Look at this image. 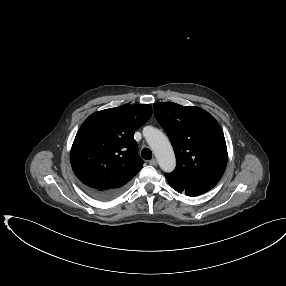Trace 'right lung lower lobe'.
<instances>
[{
    "label": "right lung lower lobe",
    "mask_w": 286,
    "mask_h": 286,
    "mask_svg": "<svg viewBox=\"0 0 286 286\" xmlns=\"http://www.w3.org/2000/svg\"><path fill=\"white\" fill-rule=\"evenodd\" d=\"M85 192L91 197L98 200H110L123 192V189H109V190H98L90 187L83 186Z\"/></svg>",
    "instance_id": "obj_1"
}]
</instances>
